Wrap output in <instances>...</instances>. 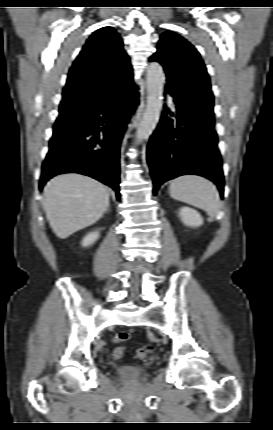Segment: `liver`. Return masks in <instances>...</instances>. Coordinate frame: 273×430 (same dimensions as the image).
I'll list each match as a JSON object with an SVG mask.
<instances>
[{"instance_id": "1", "label": "liver", "mask_w": 273, "mask_h": 430, "mask_svg": "<svg viewBox=\"0 0 273 430\" xmlns=\"http://www.w3.org/2000/svg\"><path fill=\"white\" fill-rule=\"evenodd\" d=\"M44 196L47 219L61 239L97 222L109 206L107 188L78 173L52 178L44 188Z\"/></svg>"}]
</instances>
